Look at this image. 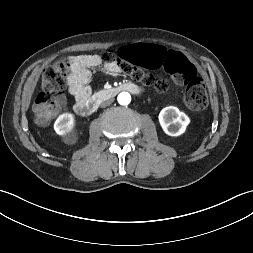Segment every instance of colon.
<instances>
[{
  "label": "colon",
  "mask_w": 253,
  "mask_h": 253,
  "mask_svg": "<svg viewBox=\"0 0 253 253\" xmlns=\"http://www.w3.org/2000/svg\"><path fill=\"white\" fill-rule=\"evenodd\" d=\"M99 57L103 63H116L124 73L158 92H165L169 88V81L136 66L158 74L166 70L174 82L186 86L183 101L192 113L202 111L208 104L203 80L197 76L195 67L179 49L170 50L159 41L147 40L143 44L133 43L123 47L119 54L106 50ZM69 70V59L57 60L44 69L42 93L33 106L35 120L39 125H47L59 113Z\"/></svg>",
  "instance_id": "5ec220e1"
}]
</instances>
